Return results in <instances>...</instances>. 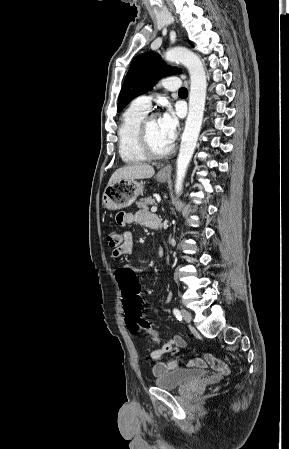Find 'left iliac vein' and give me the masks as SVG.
<instances>
[{
    "mask_svg": "<svg viewBox=\"0 0 289 449\" xmlns=\"http://www.w3.org/2000/svg\"><path fill=\"white\" fill-rule=\"evenodd\" d=\"M181 314H182L183 319L186 322H188V323L191 322L192 316H191V313L189 311L183 309V310H181Z\"/></svg>",
    "mask_w": 289,
    "mask_h": 449,
    "instance_id": "4c4485c4",
    "label": "left iliac vein"
}]
</instances>
